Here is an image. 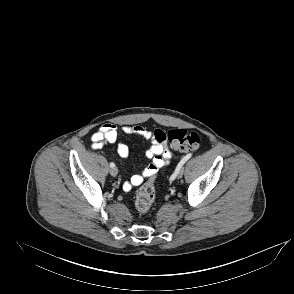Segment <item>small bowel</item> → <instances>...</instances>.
<instances>
[{"label": "small bowel", "mask_w": 294, "mask_h": 294, "mask_svg": "<svg viewBox=\"0 0 294 294\" xmlns=\"http://www.w3.org/2000/svg\"><path fill=\"white\" fill-rule=\"evenodd\" d=\"M121 131L127 135H137L150 141L151 145L146 151V156L151 163L143 169L140 174L133 175L128 181L123 183V189L129 191L132 187L140 185L145 178L153 177L158 170L167 165L170 160V152L166 143L160 142L151 132L140 125H124ZM93 149H100L105 144L116 145L117 153L121 158L129 156V148L126 144L118 142V128L113 123H105L99 130L91 136Z\"/></svg>", "instance_id": "obj_1"}]
</instances>
